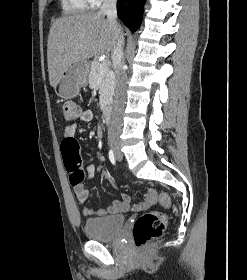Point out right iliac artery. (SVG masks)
<instances>
[{
  "instance_id": "1",
  "label": "right iliac artery",
  "mask_w": 247,
  "mask_h": 280,
  "mask_svg": "<svg viewBox=\"0 0 247 280\" xmlns=\"http://www.w3.org/2000/svg\"><path fill=\"white\" fill-rule=\"evenodd\" d=\"M109 159H110V161H111L112 164H115V163H116V162H115V156H114V153H113V150H112V149L109 151Z\"/></svg>"
}]
</instances>
